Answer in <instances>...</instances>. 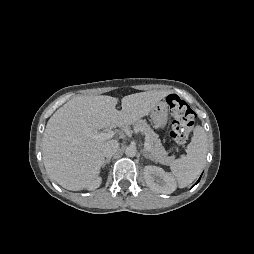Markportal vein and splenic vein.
I'll return each mask as SVG.
<instances>
[{
	"label": "portal vein and splenic vein",
	"mask_w": 254,
	"mask_h": 254,
	"mask_svg": "<svg viewBox=\"0 0 254 254\" xmlns=\"http://www.w3.org/2000/svg\"><path fill=\"white\" fill-rule=\"evenodd\" d=\"M115 134H116V132H114V131H108V132H102L99 134H94L91 137L96 140H108V139L112 138ZM144 146L147 150L149 149L148 141H145Z\"/></svg>",
	"instance_id": "obj_1"
}]
</instances>
